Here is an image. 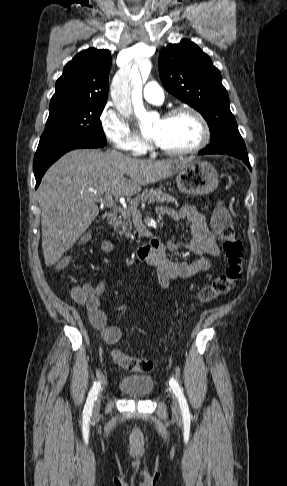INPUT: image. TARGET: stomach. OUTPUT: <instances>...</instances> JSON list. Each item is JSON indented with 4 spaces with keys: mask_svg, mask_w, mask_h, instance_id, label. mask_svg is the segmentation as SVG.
Returning a JSON list of instances; mask_svg holds the SVG:
<instances>
[{
    "mask_svg": "<svg viewBox=\"0 0 287 486\" xmlns=\"http://www.w3.org/2000/svg\"><path fill=\"white\" fill-rule=\"evenodd\" d=\"M176 183L179 191L186 195H206L218 187L219 179L211 163L191 158L177 172Z\"/></svg>",
    "mask_w": 287,
    "mask_h": 486,
    "instance_id": "obj_1",
    "label": "stomach"
}]
</instances>
